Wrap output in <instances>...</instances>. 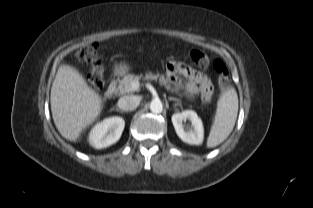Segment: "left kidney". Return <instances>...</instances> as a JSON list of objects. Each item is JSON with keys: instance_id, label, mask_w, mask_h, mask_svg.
Segmentation results:
<instances>
[{"instance_id": "obj_1", "label": "left kidney", "mask_w": 313, "mask_h": 208, "mask_svg": "<svg viewBox=\"0 0 313 208\" xmlns=\"http://www.w3.org/2000/svg\"><path fill=\"white\" fill-rule=\"evenodd\" d=\"M172 123L178 137L188 144L200 145L203 142L204 129L201 119L197 113L192 110H185L181 113L173 114ZM189 120L191 126L183 125V122Z\"/></svg>"}]
</instances>
